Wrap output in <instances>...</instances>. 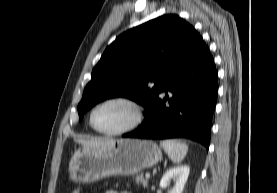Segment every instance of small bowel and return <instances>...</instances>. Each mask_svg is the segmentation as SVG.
<instances>
[{
	"instance_id": "c3829d8e",
	"label": "small bowel",
	"mask_w": 277,
	"mask_h": 193,
	"mask_svg": "<svg viewBox=\"0 0 277 193\" xmlns=\"http://www.w3.org/2000/svg\"><path fill=\"white\" fill-rule=\"evenodd\" d=\"M105 193H130V192L111 189V190L106 191Z\"/></svg>"
}]
</instances>
